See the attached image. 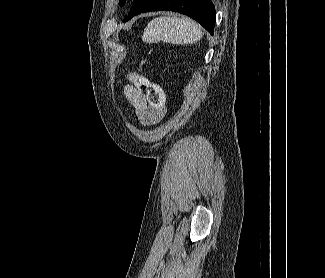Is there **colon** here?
Returning <instances> with one entry per match:
<instances>
[{
  "mask_svg": "<svg viewBox=\"0 0 325 278\" xmlns=\"http://www.w3.org/2000/svg\"><path fill=\"white\" fill-rule=\"evenodd\" d=\"M130 79L134 82L152 108L159 110L165 109L164 93L158 84L151 82L149 79L137 73L131 74Z\"/></svg>",
  "mask_w": 325,
  "mask_h": 278,
  "instance_id": "1",
  "label": "colon"
}]
</instances>
